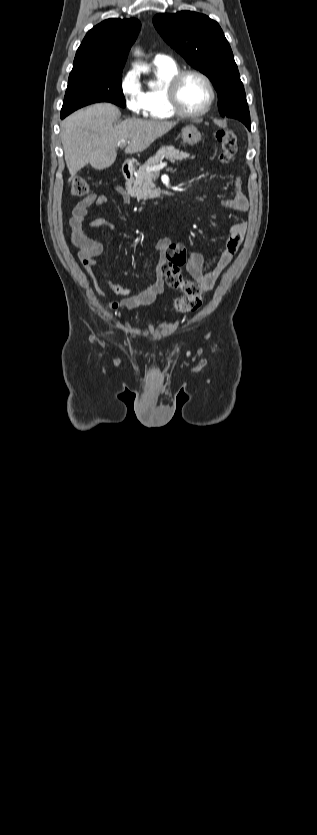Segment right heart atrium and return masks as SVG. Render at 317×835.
<instances>
[{"label":"right heart atrium","mask_w":317,"mask_h":835,"mask_svg":"<svg viewBox=\"0 0 317 835\" xmlns=\"http://www.w3.org/2000/svg\"><path fill=\"white\" fill-rule=\"evenodd\" d=\"M120 89L127 108L135 115L147 114L146 100L135 71H127L121 79Z\"/></svg>","instance_id":"1"}]
</instances>
